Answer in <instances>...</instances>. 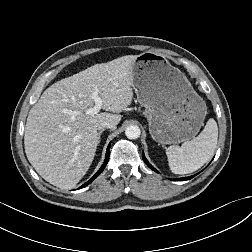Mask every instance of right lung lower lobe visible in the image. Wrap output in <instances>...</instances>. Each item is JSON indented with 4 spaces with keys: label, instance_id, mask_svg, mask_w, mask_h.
<instances>
[{
    "label": "right lung lower lobe",
    "instance_id": "obj_1",
    "mask_svg": "<svg viewBox=\"0 0 252 252\" xmlns=\"http://www.w3.org/2000/svg\"><path fill=\"white\" fill-rule=\"evenodd\" d=\"M109 149H110V144L107 147V151H106V157H105V161L103 163V165L101 166V168L98 170V172L85 184H83L80 188H83L85 186H87L88 184H90L105 168L106 164L108 163L109 160Z\"/></svg>",
    "mask_w": 252,
    "mask_h": 252
}]
</instances>
